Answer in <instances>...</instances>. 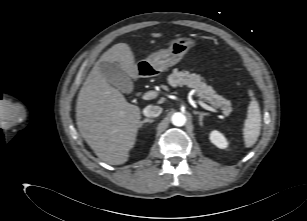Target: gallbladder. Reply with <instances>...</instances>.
<instances>
[{"label": "gallbladder", "mask_w": 307, "mask_h": 221, "mask_svg": "<svg viewBox=\"0 0 307 221\" xmlns=\"http://www.w3.org/2000/svg\"><path fill=\"white\" fill-rule=\"evenodd\" d=\"M99 69L103 77L111 85L124 92L130 93L133 83L126 72L116 62H99Z\"/></svg>", "instance_id": "1"}]
</instances>
